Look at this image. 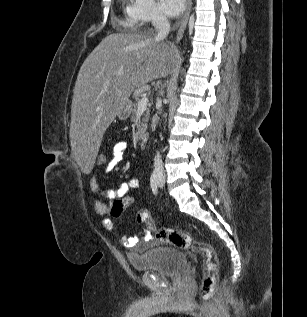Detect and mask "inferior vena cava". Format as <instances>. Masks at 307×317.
<instances>
[{"mask_svg":"<svg viewBox=\"0 0 307 317\" xmlns=\"http://www.w3.org/2000/svg\"><path fill=\"white\" fill-rule=\"evenodd\" d=\"M154 26L158 30V34L155 38L156 41L164 39L170 32V23L164 15H159L155 19ZM154 171L157 175L164 174L163 162L159 153H157L154 158Z\"/></svg>","mask_w":307,"mask_h":317,"instance_id":"inferior-vena-cava-1","label":"inferior vena cava"}]
</instances>
